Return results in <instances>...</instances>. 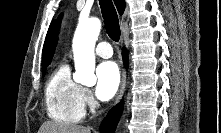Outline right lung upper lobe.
Returning <instances> with one entry per match:
<instances>
[{"label":"right lung upper lobe","instance_id":"obj_1","mask_svg":"<svg viewBox=\"0 0 221 133\" xmlns=\"http://www.w3.org/2000/svg\"><path fill=\"white\" fill-rule=\"evenodd\" d=\"M115 5L119 14H122L125 9V1L124 0H114ZM55 34H56V24L53 22L48 30L46 35L44 47H43V55H42V64H50V61L53 57L54 50H55Z\"/></svg>","mask_w":221,"mask_h":133}]
</instances>
